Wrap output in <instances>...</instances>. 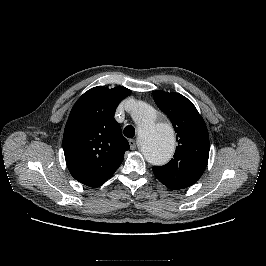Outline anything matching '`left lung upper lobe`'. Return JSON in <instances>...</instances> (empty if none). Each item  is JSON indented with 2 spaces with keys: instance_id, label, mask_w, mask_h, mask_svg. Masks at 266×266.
I'll return each mask as SVG.
<instances>
[{
  "instance_id": "left-lung-upper-lobe-1",
  "label": "left lung upper lobe",
  "mask_w": 266,
  "mask_h": 266,
  "mask_svg": "<svg viewBox=\"0 0 266 266\" xmlns=\"http://www.w3.org/2000/svg\"><path fill=\"white\" fill-rule=\"evenodd\" d=\"M154 101L172 122L178 146L166 165L153 166L156 178L174 190L193 185L203 174L209 158V135L193 103L179 93L157 90Z\"/></svg>"
}]
</instances>
